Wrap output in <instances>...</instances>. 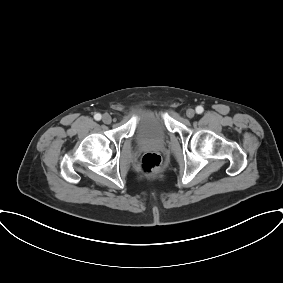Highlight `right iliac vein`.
<instances>
[{
  "instance_id": "1",
  "label": "right iliac vein",
  "mask_w": 283,
  "mask_h": 283,
  "mask_svg": "<svg viewBox=\"0 0 283 283\" xmlns=\"http://www.w3.org/2000/svg\"><path fill=\"white\" fill-rule=\"evenodd\" d=\"M102 121L105 123V124H109V123H111V121H112V118H111V116L109 115V114H104L103 116H102Z\"/></svg>"
}]
</instances>
